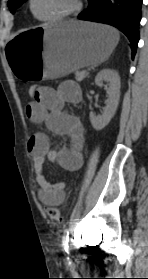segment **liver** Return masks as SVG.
<instances>
[{
	"label": "liver",
	"mask_w": 148,
	"mask_h": 279,
	"mask_svg": "<svg viewBox=\"0 0 148 279\" xmlns=\"http://www.w3.org/2000/svg\"><path fill=\"white\" fill-rule=\"evenodd\" d=\"M72 23H74V24H76V25H77V24H80V25L82 24V22H72Z\"/></svg>",
	"instance_id": "6515ba94"
}]
</instances>
